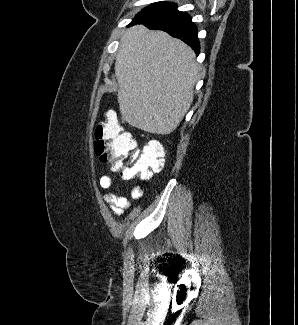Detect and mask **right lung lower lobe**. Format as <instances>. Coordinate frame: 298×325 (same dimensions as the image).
Returning <instances> with one entry per match:
<instances>
[{
    "label": "right lung lower lobe",
    "instance_id": "98d812e1",
    "mask_svg": "<svg viewBox=\"0 0 298 325\" xmlns=\"http://www.w3.org/2000/svg\"><path fill=\"white\" fill-rule=\"evenodd\" d=\"M142 23L149 29L163 30L188 44L196 54L199 53L200 45L197 38V27L191 22L187 13L176 11L169 15L150 20H134L132 24Z\"/></svg>",
    "mask_w": 298,
    "mask_h": 325
}]
</instances>
